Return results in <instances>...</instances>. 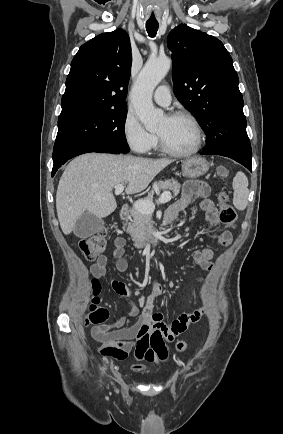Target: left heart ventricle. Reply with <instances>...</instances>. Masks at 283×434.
Returning <instances> with one entry per match:
<instances>
[{
  "instance_id": "left-heart-ventricle-1",
  "label": "left heart ventricle",
  "mask_w": 283,
  "mask_h": 434,
  "mask_svg": "<svg viewBox=\"0 0 283 434\" xmlns=\"http://www.w3.org/2000/svg\"><path fill=\"white\" fill-rule=\"evenodd\" d=\"M156 132L162 136L166 144L177 151L192 148L195 142V132L189 121L183 118L162 119Z\"/></svg>"
}]
</instances>
